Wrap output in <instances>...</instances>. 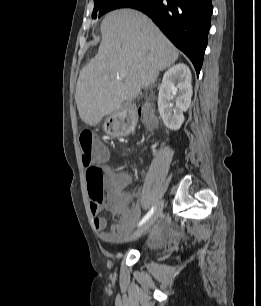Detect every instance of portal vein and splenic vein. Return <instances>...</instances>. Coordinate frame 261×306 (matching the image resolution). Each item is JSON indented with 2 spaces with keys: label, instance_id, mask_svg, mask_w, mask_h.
Instances as JSON below:
<instances>
[{
  "label": "portal vein and splenic vein",
  "instance_id": "1",
  "mask_svg": "<svg viewBox=\"0 0 261 306\" xmlns=\"http://www.w3.org/2000/svg\"><path fill=\"white\" fill-rule=\"evenodd\" d=\"M127 75L126 72H121L120 74L117 75V79L121 80Z\"/></svg>",
  "mask_w": 261,
  "mask_h": 306
}]
</instances>
